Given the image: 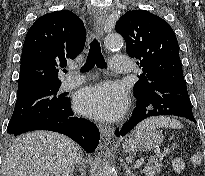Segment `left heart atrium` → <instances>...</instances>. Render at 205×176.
<instances>
[{
	"instance_id": "left-heart-atrium-1",
	"label": "left heart atrium",
	"mask_w": 205,
	"mask_h": 176,
	"mask_svg": "<svg viewBox=\"0 0 205 176\" xmlns=\"http://www.w3.org/2000/svg\"><path fill=\"white\" fill-rule=\"evenodd\" d=\"M127 106L125 91L112 83H101L81 90L75 98L76 109L90 117L113 120Z\"/></svg>"
}]
</instances>
